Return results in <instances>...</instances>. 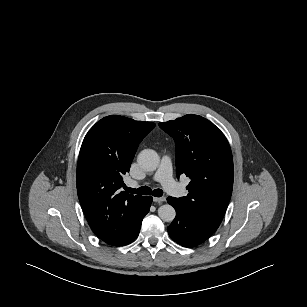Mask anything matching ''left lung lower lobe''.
<instances>
[{"mask_svg":"<svg viewBox=\"0 0 307 307\" xmlns=\"http://www.w3.org/2000/svg\"><path fill=\"white\" fill-rule=\"evenodd\" d=\"M167 201L176 210V217L167 228L172 240L185 247H194L214 233L193 221L173 197H168Z\"/></svg>","mask_w":307,"mask_h":307,"instance_id":"obj_1","label":"left lung lower lobe"}]
</instances>
